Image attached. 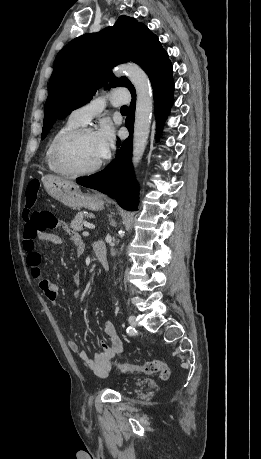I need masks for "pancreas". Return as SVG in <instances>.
I'll list each match as a JSON object with an SVG mask.
<instances>
[{"label":"pancreas","instance_id":"1","mask_svg":"<svg viewBox=\"0 0 261 459\" xmlns=\"http://www.w3.org/2000/svg\"><path fill=\"white\" fill-rule=\"evenodd\" d=\"M86 217H93V214L91 213H88L86 211H81V212H78L75 216V218L72 220V222L70 223V228L73 230V231H81L83 230V219L86 218Z\"/></svg>","mask_w":261,"mask_h":459}]
</instances>
